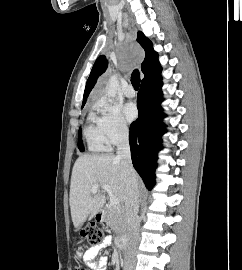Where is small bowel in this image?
<instances>
[{"label": "small bowel", "instance_id": "1", "mask_svg": "<svg viewBox=\"0 0 242 270\" xmlns=\"http://www.w3.org/2000/svg\"><path fill=\"white\" fill-rule=\"evenodd\" d=\"M109 244L110 240L106 238L99 245H96L87 250L82 256L84 262L94 266L96 270H106L107 259L105 257L97 258V254L101 249L107 247Z\"/></svg>", "mask_w": 242, "mask_h": 270}]
</instances>
